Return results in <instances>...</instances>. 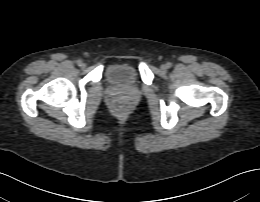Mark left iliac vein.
<instances>
[{"instance_id": "left-iliac-vein-1", "label": "left iliac vein", "mask_w": 260, "mask_h": 202, "mask_svg": "<svg viewBox=\"0 0 260 202\" xmlns=\"http://www.w3.org/2000/svg\"><path fill=\"white\" fill-rule=\"evenodd\" d=\"M160 69H161L162 71H165V70L167 69V67H166V65L163 64V65L160 66Z\"/></svg>"}]
</instances>
